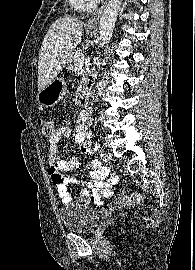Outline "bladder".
I'll return each mask as SVG.
<instances>
[{
    "instance_id": "1",
    "label": "bladder",
    "mask_w": 195,
    "mask_h": 270,
    "mask_svg": "<svg viewBox=\"0 0 195 270\" xmlns=\"http://www.w3.org/2000/svg\"><path fill=\"white\" fill-rule=\"evenodd\" d=\"M59 215L64 228L70 232H91L100 217L99 211L88 204H69L62 207Z\"/></svg>"
}]
</instances>
